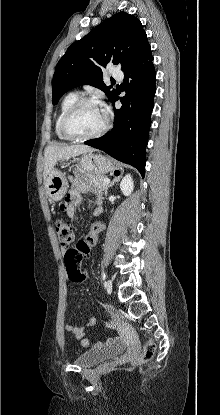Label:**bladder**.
<instances>
[{"label": "bladder", "instance_id": "obj_1", "mask_svg": "<svg viewBox=\"0 0 220 415\" xmlns=\"http://www.w3.org/2000/svg\"><path fill=\"white\" fill-rule=\"evenodd\" d=\"M123 353V348L119 346L106 347L102 349H91L81 353L74 363L82 368L96 366L102 362L115 359Z\"/></svg>", "mask_w": 220, "mask_h": 415}]
</instances>
